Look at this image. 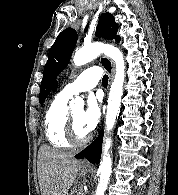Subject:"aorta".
<instances>
[{
	"label": "aorta",
	"instance_id": "aorta-1",
	"mask_svg": "<svg viewBox=\"0 0 178 195\" xmlns=\"http://www.w3.org/2000/svg\"><path fill=\"white\" fill-rule=\"evenodd\" d=\"M101 53L110 57L116 65V74L111 84L108 97L107 114H106V134H109L113 129L116 118L120 112V102L123 95V85L125 79V62L122 52L109 44L92 43L77 50L73 57L75 66H82L97 58ZM83 101L77 97L70 102L72 108L82 106ZM112 144V139L105 135L103 156L99 166L100 179L96 189V195H104L107 184L111 175L112 159L109 150Z\"/></svg>",
	"mask_w": 178,
	"mask_h": 195
}]
</instances>
